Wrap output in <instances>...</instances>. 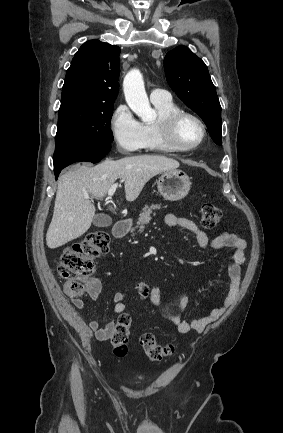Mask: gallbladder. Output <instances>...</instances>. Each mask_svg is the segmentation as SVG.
I'll use <instances>...</instances> for the list:
<instances>
[{
	"instance_id": "1",
	"label": "gallbladder",
	"mask_w": 283,
	"mask_h": 433,
	"mask_svg": "<svg viewBox=\"0 0 283 433\" xmlns=\"http://www.w3.org/2000/svg\"><path fill=\"white\" fill-rule=\"evenodd\" d=\"M93 225H95V227H110V225H112V219L108 217V214H95Z\"/></svg>"
}]
</instances>
